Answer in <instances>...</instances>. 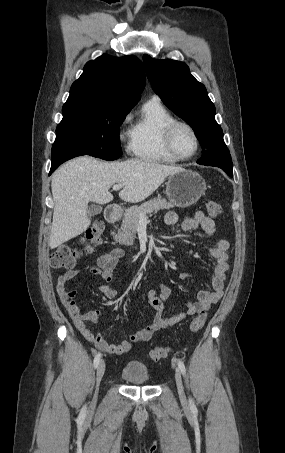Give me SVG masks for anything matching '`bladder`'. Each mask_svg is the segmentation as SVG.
Listing matches in <instances>:
<instances>
[{"label":"bladder","instance_id":"1","mask_svg":"<svg viewBox=\"0 0 285 453\" xmlns=\"http://www.w3.org/2000/svg\"><path fill=\"white\" fill-rule=\"evenodd\" d=\"M121 377L131 383L136 385H143L149 381V373L147 368L138 362H129L127 363L121 371Z\"/></svg>","mask_w":285,"mask_h":453}]
</instances>
